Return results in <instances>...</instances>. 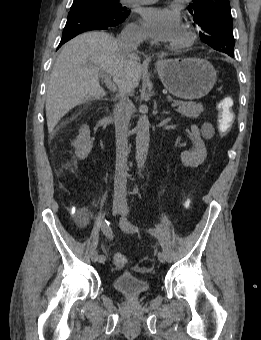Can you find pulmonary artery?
Segmentation results:
<instances>
[{
    "mask_svg": "<svg viewBox=\"0 0 261 340\" xmlns=\"http://www.w3.org/2000/svg\"><path fill=\"white\" fill-rule=\"evenodd\" d=\"M128 2H134V3H139V4H147V3H152L156 0H126Z\"/></svg>",
    "mask_w": 261,
    "mask_h": 340,
    "instance_id": "pulmonary-artery-1",
    "label": "pulmonary artery"
}]
</instances>
